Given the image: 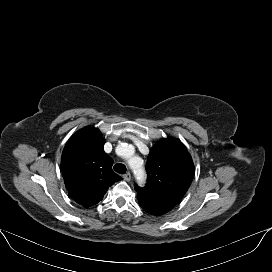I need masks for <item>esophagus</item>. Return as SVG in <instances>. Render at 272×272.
<instances>
[{
	"mask_svg": "<svg viewBox=\"0 0 272 272\" xmlns=\"http://www.w3.org/2000/svg\"><path fill=\"white\" fill-rule=\"evenodd\" d=\"M123 179L125 181H130L131 180V174H130V172H127L125 175H123Z\"/></svg>",
	"mask_w": 272,
	"mask_h": 272,
	"instance_id": "1",
	"label": "esophagus"
}]
</instances>
